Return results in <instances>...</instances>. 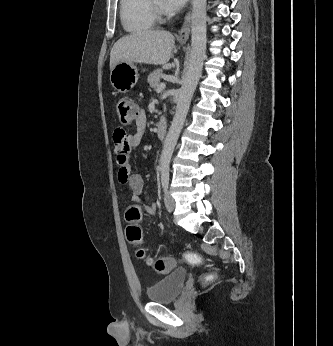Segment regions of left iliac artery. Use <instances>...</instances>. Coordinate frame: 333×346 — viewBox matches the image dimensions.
I'll return each instance as SVG.
<instances>
[{"mask_svg": "<svg viewBox=\"0 0 333 346\" xmlns=\"http://www.w3.org/2000/svg\"><path fill=\"white\" fill-rule=\"evenodd\" d=\"M161 182L164 191H167L169 185V169L162 168L161 169Z\"/></svg>", "mask_w": 333, "mask_h": 346, "instance_id": "left-iliac-artery-1", "label": "left iliac artery"}]
</instances>
